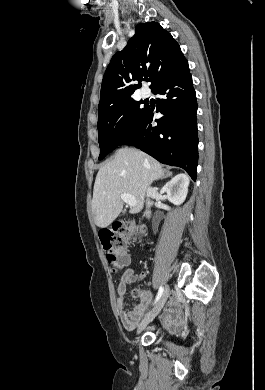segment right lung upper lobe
<instances>
[{"instance_id": "obj_1", "label": "right lung upper lobe", "mask_w": 265, "mask_h": 390, "mask_svg": "<svg viewBox=\"0 0 265 390\" xmlns=\"http://www.w3.org/2000/svg\"><path fill=\"white\" fill-rule=\"evenodd\" d=\"M185 61L178 43L159 23L137 25L135 35L112 57L105 71L98 113L131 99L147 76L154 89ZM135 81L139 85L134 84Z\"/></svg>"}]
</instances>
